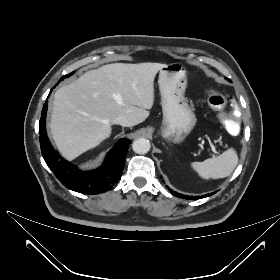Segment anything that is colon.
<instances>
[{
  "label": "colon",
  "mask_w": 280,
  "mask_h": 280,
  "mask_svg": "<svg viewBox=\"0 0 280 280\" xmlns=\"http://www.w3.org/2000/svg\"><path fill=\"white\" fill-rule=\"evenodd\" d=\"M227 100L233 102V97H225L215 90H209L207 93L209 106L220 113L217 117L218 124L226 128L230 136L237 137L241 133V109L237 105H232L228 109V114L224 113Z\"/></svg>",
  "instance_id": "obj_1"
}]
</instances>
